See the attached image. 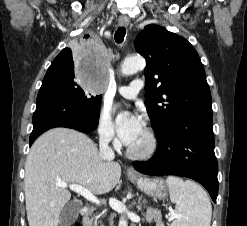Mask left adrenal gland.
Listing matches in <instances>:
<instances>
[{"instance_id": "a2214340", "label": "left adrenal gland", "mask_w": 247, "mask_h": 226, "mask_svg": "<svg viewBox=\"0 0 247 226\" xmlns=\"http://www.w3.org/2000/svg\"><path fill=\"white\" fill-rule=\"evenodd\" d=\"M142 207L145 208L146 207V201L143 200L142 201V196L139 197V200H138V205H137V209L142 211Z\"/></svg>"}]
</instances>
